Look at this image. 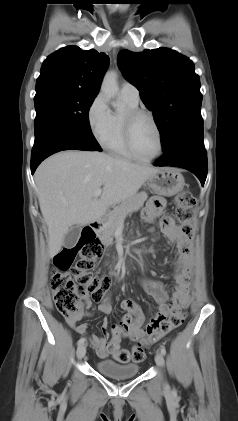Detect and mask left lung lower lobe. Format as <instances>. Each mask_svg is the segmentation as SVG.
Segmentation results:
<instances>
[{
	"label": "left lung lower lobe",
	"instance_id": "1",
	"mask_svg": "<svg viewBox=\"0 0 238 421\" xmlns=\"http://www.w3.org/2000/svg\"><path fill=\"white\" fill-rule=\"evenodd\" d=\"M154 165L177 166L190 170L199 178L203 186L207 176V154L204 147L203 126L185 132Z\"/></svg>",
	"mask_w": 238,
	"mask_h": 421
}]
</instances>
